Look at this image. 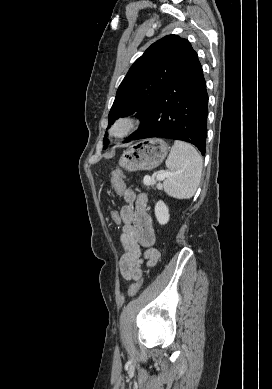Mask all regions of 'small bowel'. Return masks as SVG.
Listing matches in <instances>:
<instances>
[{"label": "small bowel", "mask_w": 272, "mask_h": 389, "mask_svg": "<svg viewBox=\"0 0 272 389\" xmlns=\"http://www.w3.org/2000/svg\"><path fill=\"white\" fill-rule=\"evenodd\" d=\"M123 198L126 204L120 209V242L124 254L120 260V272L126 280H137L143 274L142 263L147 261L149 266L155 265L159 252L152 247L155 231L148 213L146 196L126 189Z\"/></svg>", "instance_id": "obj_1"}]
</instances>
